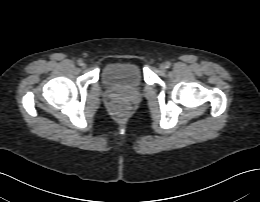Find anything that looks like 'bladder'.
Listing matches in <instances>:
<instances>
[{
	"mask_svg": "<svg viewBox=\"0 0 260 202\" xmlns=\"http://www.w3.org/2000/svg\"><path fill=\"white\" fill-rule=\"evenodd\" d=\"M101 82L107 87L136 91L142 88L144 75L133 62H113L103 69Z\"/></svg>",
	"mask_w": 260,
	"mask_h": 202,
	"instance_id": "obj_1",
	"label": "bladder"
}]
</instances>
